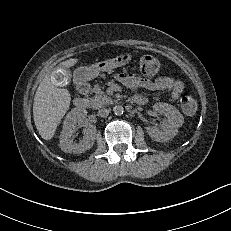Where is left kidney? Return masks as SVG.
Listing matches in <instances>:
<instances>
[{"label":"left kidney","instance_id":"left-kidney-1","mask_svg":"<svg viewBox=\"0 0 231 231\" xmlns=\"http://www.w3.org/2000/svg\"><path fill=\"white\" fill-rule=\"evenodd\" d=\"M153 109L159 114H164L166 119L163 120L161 129L148 126L146 127V131L154 141H169L177 134L179 127L183 125L184 117L179 110L168 103H156Z\"/></svg>","mask_w":231,"mask_h":231}]
</instances>
